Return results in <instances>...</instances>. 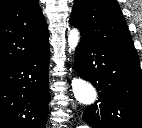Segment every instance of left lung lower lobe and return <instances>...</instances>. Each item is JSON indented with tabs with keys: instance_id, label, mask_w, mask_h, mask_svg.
Masks as SVG:
<instances>
[{
	"instance_id": "left-lung-lower-lobe-1",
	"label": "left lung lower lobe",
	"mask_w": 142,
	"mask_h": 128,
	"mask_svg": "<svg viewBox=\"0 0 142 128\" xmlns=\"http://www.w3.org/2000/svg\"><path fill=\"white\" fill-rule=\"evenodd\" d=\"M79 76L92 83L99 99L84 111L92 128H142V71L139 59L81 36L75 52Z\"/></svg>"
}]
</instances>
